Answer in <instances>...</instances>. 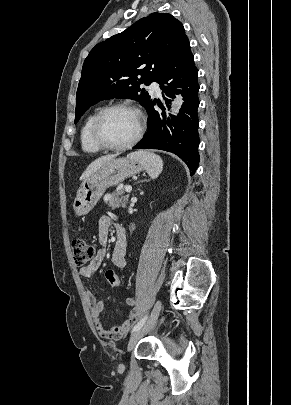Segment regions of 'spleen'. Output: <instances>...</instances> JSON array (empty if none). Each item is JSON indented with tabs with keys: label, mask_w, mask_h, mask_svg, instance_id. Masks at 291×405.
<instances>
[{
	"label": "spleen",
	"mask_w": 291,
	"mask_h": 405,
	"mask_svg": "<svg viewBox=\"0 0 291 405\" xmlns=\"http://www.w3.org/2000/svg\"><path fill=\"white\" fill-rule=\"evenodd\" d=\"M131 159L139 162L145 167L147 173L152 179H155L163 170V161L160 156L148 152V151H137L132 152L128 155Z\"/></svg>",
	"instance_id": "1"
}]
</instances>
